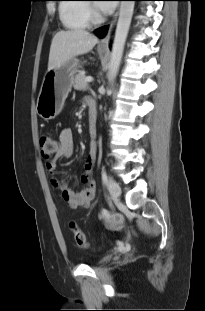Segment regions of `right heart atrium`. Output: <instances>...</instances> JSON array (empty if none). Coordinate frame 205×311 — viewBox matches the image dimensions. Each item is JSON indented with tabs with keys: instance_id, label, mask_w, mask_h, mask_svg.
Returning <instances> with one entry per match:
<instances>
[{
	"instance_id": "right-heart-atrium-1",
	"label": "right heart atrium",
	"mask_w": 205,
	"mask_h": 311,
	"mask_svg": "<svg viewBox=\"0 0 205 311\" xmlns=\"http://www.w3.org/2000/svg\"><path fill=\"white\" fill-rule=\"evenodd\" d=\"M90 11L92 14H94V12H95L93 8H91Z\"/></svg>"
}]
</instances>
